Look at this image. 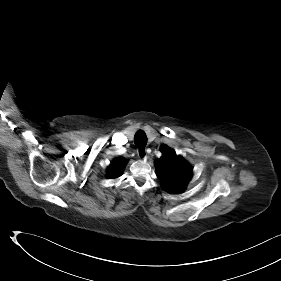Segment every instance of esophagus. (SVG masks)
Instances as JSON below:
<instances>
[{"mask_svg": "<svg viewBox=\"0 0 281 281\" xmlns=\"http://www.w3.org/2000/svg\"><path fill=\"white\" fill-rule=\"evenodd\" d=\"M137 155L140 159H146L147 151L145 147H140L137 149Z\"/></svg>", "mask_w": 281, "mask_h": 281, "instance_id": "esophagus-1", "label": "esophagus"}]
</instances>
